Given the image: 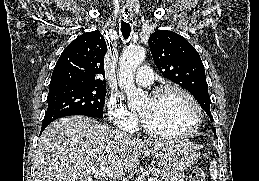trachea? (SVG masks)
Wrapping results in <instances>:
<instances>
[{
	"mask_svg": "<svg viewBox=\"0 0 259 181\" xmlns=\"http://www.w3.org/2000/svg\"><path fill=\"white\" fill-rule=\"evenodd\" d=\"M121 32H122V36L124 37V39H128L130 36V32H131L130 24L125 21H122L121 22Z\"/></svg>",
	"mask_w": 259,
	"mask_h": 181,
	"instance_id": "1",
	"label": "trachea"
}]
</instances>
